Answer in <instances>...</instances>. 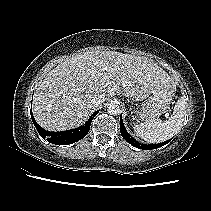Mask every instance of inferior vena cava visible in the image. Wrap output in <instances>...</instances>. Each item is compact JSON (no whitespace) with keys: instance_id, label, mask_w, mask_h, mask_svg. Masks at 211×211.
<instances>
[{"instance_id":"602c4592","label":"inferior vena cava","mask_w":211,"mask_h":211,"mask_svg":"<svg viewBox=\"0 0 211 211\" xmlns=\"http://www.w3.org/2000/svg\"><path fill=\"white\" fill-rule=\"evenodd\" d=\"M103 103V99L99 95H95L91 101H90V106L91 107H98Z\"/></svg>"}]
</instances>
